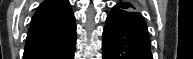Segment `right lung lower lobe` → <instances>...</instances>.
I'll use <instances>...</instances> for the list:
<instances>
[{"instance_id": "right-lung-lower-lobe-1", "label": "right lung lower lobe", "mask_w": 193, "mask_h": 59, "mask_svg": "<svg viewBox=\"0 0 193 59\" xmlns=\"http://www.w3.org/2000/svg\"><path fill=\"white\" fill-rule=\"evenodd\" d=\"M76 32L49 47L24 50V59H74Z\"/></svg>"}]
</instances>
